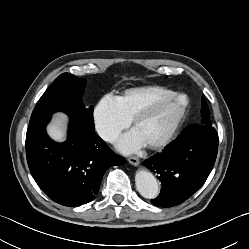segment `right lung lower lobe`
<instances>
[{
	"instance_id": "obj_1",
	"label": "right lung lower lobe",
	"mask_w": 249,
	"mask_h": 249,
	"mask_svg": "<svg viewBox=\"0 0 249 249\" xmlns=\"http://www.w3.org/2000/svg\"><path fill=\"white\" fill-rule=\"evenodd\" d=\"M70 119L64 143L48 137L45 127L50 117L29 124L26 156L35 181L46 195L61 205L75 207L92 201L105 171L126 160L114 153L94 129Z\"/></svg>"
}]
</instances>
